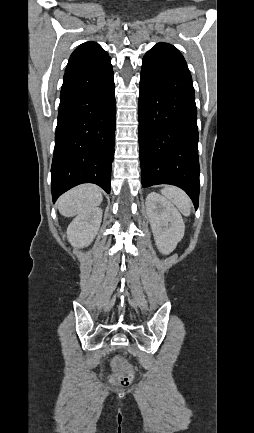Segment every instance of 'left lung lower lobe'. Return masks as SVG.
<instances>
[{
  "label": "left lung lower lobe",
  "instance_id": "left-lung-lower-lobe-1",
  "mask_svg": "<svg viewBox=\"0 0 254 433\" xmlns=\"http://www.w3.org/2000/svg\"><path fill=\"white\" fill-rule=\"evenodd\" d=\"M138 120L143 188L157 184L178 186L197 209L200 173L197 110L187 66L145 54Z\"/></svg>",
  "mask_w": 254,
  "mask_h": 433
}]
</instances>
